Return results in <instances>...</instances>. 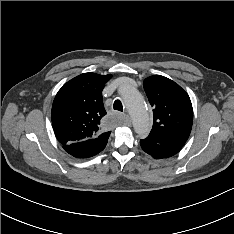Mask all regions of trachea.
Listing matches in <instances>:
<instances>
[{"label": "trachea", "mask_w": 234, "mask_h": 234, "mask_svg": "<svg viewBox=\"0 0 234 234\" xmlns=\"http://www.w3.org/2000/svg\"><path fill=\"white\" fill-rule=\"evenodd\" d=\"M114 110L123 111V106L120 100H116L113 104Z\"/></svg>", "instance_id": "3493384b"}]
</instances>
